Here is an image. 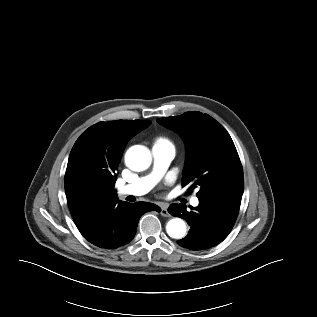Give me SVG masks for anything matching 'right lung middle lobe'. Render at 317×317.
<instances>
[{"mask_svg":"<svg viewBox=\"0 0 317 317\" xmlns=\"http://www.w3.org/2000/svg\"><path fill=\"white\" fill-rule=\"evenodd\" d=\"M71 190L78 191L86 196L96 197L98 199H105L103 187L89 180H77L72 185Z\"/></svg>","mask_w":317,"mask_h":317,"instance_id":"dd1d6c3e","label":"right lung middle lobe"}]
</instances>
